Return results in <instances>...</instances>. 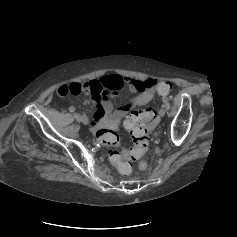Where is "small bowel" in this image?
I'll list each match as a JSON object with an SVG mask.
<instances>
[{
  "instance_id": "small-bowel-1",
  "label": "small bowel",
  "mask_w": 237,
  "mask_h": 237,
  "mask_svg": "<svg viewBox=\"0 0 237 237\" xmlns=\"http://www.w3.org/2000/svg\"><path fill=\"white\" fill-rule=\"evenodd\" d=\"M155 83L156 81L154 79L138 80L120 75H110L83 83L72 82L63 84L57 88V94L59 96H67L69 94L91 95L93 102L97 105L92 129H116L130 111L137 106L148 104L153 99ZM124 85L129 86L134 96L122 107L114 109L113 104L106 96H116L118 90Z\"/></svg>"
}]
</instances>
